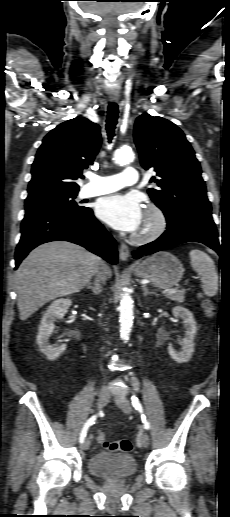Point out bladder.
Listing matches in <instances>:
<instances>
[{"label": "bladder", "mask_w": 230, "mask_h": 517, "mask_svg": "<svg viewBox=\"0 0 230 517\" xmlns=\"http://www.w3.org/2000/svg\"><path fill=\"white\" fill-rule=\"evenodd\" d=\"M88 471L101 479H125L137 471L135 458L126 452L96 453L88 463Z\"/></svg>", "instance_id": "obj_1"}]
</instances>
